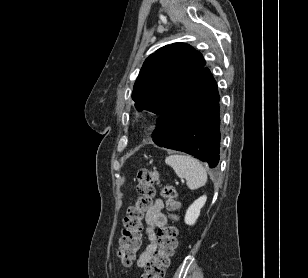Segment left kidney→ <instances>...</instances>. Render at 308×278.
I'll return each instance as SVG.
<instances>
[{
    "label": "left kidney",
    "instance_id": "1",
    "mask_svg": "<svg viewBox=\"0 0 308 278\" xmlns=\"http://www.w3.org/2000/svg\"><path fill=\"white\" fill-rule=\"evenodd\" d=\"M207 197L204 195L193 202L187 209L185 214V223L187 225H194L200 215L201 208L205 205Z\"/></svg>",
    "mask_w": 308,
    "mask_h": 278
}]
</instances>
